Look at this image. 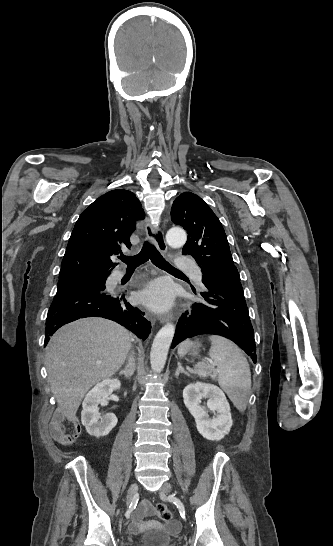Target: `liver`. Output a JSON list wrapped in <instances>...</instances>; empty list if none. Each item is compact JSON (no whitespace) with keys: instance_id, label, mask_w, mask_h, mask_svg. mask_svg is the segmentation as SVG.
<instances>
[{"instance_id":"6515ba94","label":"liver","mask_w":333,"mask_h":546,"mask_svg":"<svg viewBox=\"0 0 333 546\" xmlns=\"http://www.w3.org/2000/svg\"><path fill=\"white\" fill-rule=\"evenodd\" d=\"M130 347L128 331L101 318L74 321L53 335L46 347L48 379L68 421L76 419L87 391L120 369Z\"/></svg>"}]
</instances>
